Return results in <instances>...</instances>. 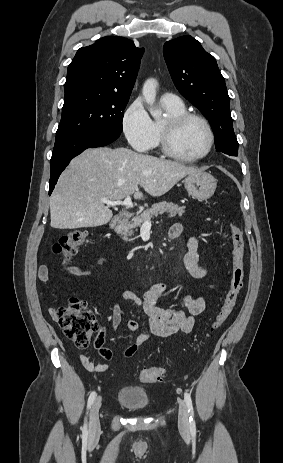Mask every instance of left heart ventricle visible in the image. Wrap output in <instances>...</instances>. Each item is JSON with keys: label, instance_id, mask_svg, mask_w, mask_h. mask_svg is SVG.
Wrapping results in <instances>:
<instances>
[{"label": "left heart ventricle", "instance_id": "b2bd125f", "mask_svg": "<svg viewBox=\"0 0 283 463\" xmlns=\"http://www.w3.org/2000/svg\"><path fill=\"white\" fill-rule=\"evenodd\" d=\"M175 149L184 156L194 157L202 154L208 145V133L199 120L184 123L174 137Z\"/></svg>", "mask_w": 283, "mask_h": 463}]
</instances>
